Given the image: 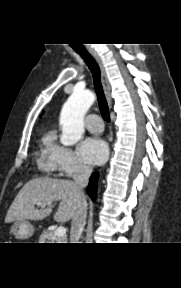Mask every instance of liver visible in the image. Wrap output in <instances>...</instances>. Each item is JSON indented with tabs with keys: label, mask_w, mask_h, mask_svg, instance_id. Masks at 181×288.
Here are the masks:
<instances>
[{
	"label": "liver",
	"mask_w": 181,
	"mask_h": 288,
	"mask_svg": "<svg viewBox=\"0 0 181 288\" xmlns=\"http://www.w3.org/2000/svg\"><path fill=\"white\" fill-rule=\"evenodd\" d=\"M57 201H60V204L54 220L67 222L73 219L78 210L79 196L72 181L52 178L32 179L15 197L7 212L5 222L42 220L51 214L52 204ZM37 202H43L46 205L38 209L35 208Z\"/></svg>",
	"instance_id": "obj_1"
}]
</instances>
